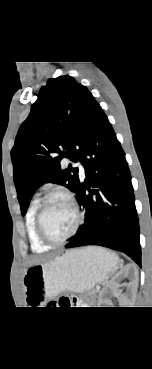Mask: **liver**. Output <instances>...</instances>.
Wrapping results in <instances>:
<instances>
[{"label": "liver", "instance_id": "1", "mask_svg": "<svg viewBox=\"0 0 152 369\" xmlns=\"http://www.w3.org/2000/svg\"><path fill=\"white\" fill-rule=\"evenodd\" d=\"M42 260H43V258H35L34 260H32V263L37 264V263H40V261H42Z\"/></svg>", "mask_w": 152, "mask_h": 369}]
</instances>
